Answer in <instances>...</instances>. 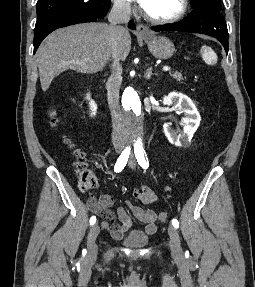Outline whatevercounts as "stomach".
Wrapping results in <instances>:
<instances>
[{
	"mask_svg": "<svg viewBox=\"0 0 255 287\" xmlns=\"http://www.w3.org/2000/svg\"><path fill=\"white\" fill-rule=\"evenodd\" d=\"M143 40L146 42L149 52L158 60H168L175 52L174 44L165 36H152L151 34Z\"/></svg>",
	"mask_w": 255,
	"mask_h": 287,
	"instance_id": "0dacf381",
	"label": "stomach"
}]
</instances>
